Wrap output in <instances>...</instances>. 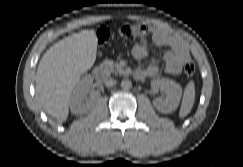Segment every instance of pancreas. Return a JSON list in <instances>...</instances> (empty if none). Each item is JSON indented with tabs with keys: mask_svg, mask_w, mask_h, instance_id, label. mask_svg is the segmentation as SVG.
Returning a JSON list of instances; mask_svg holds the SVG:
<instances>
[{
	"mask_svg": "<svg viewBox=\"0 0 243 167\" xmlns=\"http://www.w3.org/2000/svg\"><path fill=\"white\" fill-rule=\"evenodd\" d=\"M102 66L104 68V72L106 73V75H109L111 73L121 74V73L124 72V70L122 69V67L117 62H114L112 60L106 59L102 63Z\"/></svg>",
	"mask_w": 243,
	"mask_h": 167,
	"instance_id": "obj_1",
	"label": "pancreas"
}]
</instances>
